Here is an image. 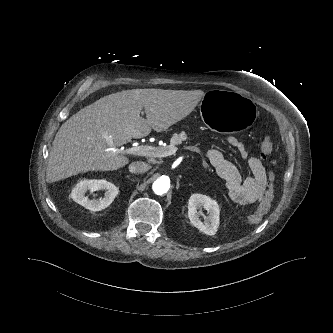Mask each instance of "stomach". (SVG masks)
<instances>
[{"mask_svg": "<svg viewBox=\"0 0 333 333\" xmlns=\"http://www.w3.org/2000/svg\"><path fill=\"white\" fill-rule=\"evenodd\" d=\"M199 115L203 123L214 131L241 135L256 125L258 109L247 96L213 90L201 99Z\"/></svg>", "mask_w": 333, "mask_h": 333, "instance_id": "stomach-1", "label": "stomach"}]
</instances>
